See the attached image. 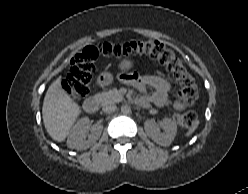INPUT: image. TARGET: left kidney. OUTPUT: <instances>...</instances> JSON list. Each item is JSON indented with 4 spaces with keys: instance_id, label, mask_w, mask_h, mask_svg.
Returning a JSON list of instances; mask_svg holds the SVG:
<instances>
[{
    "instance_id": "1",
    "label": "left kidney",
    "mask_w": 248,
    "mask_h": 194,
    "mask_svg": "<svg viewBox=\"0 0 248 194\" xmlns=\"http://www.w3.org/2000/svg\"><path fill=\"white\" fill-rule=\"evenodd\" d=\"M162 124L165 128V133H161L160 129L155 125L146 127V132L147 135L157 144L161 146H169L176 136L177 125L169 118H164Z\"/></svg>"
}]
</instances>
